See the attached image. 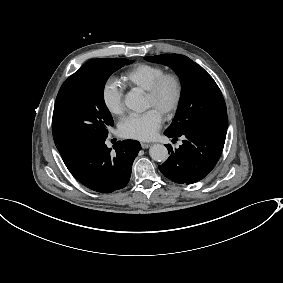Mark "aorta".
I'll list each match as a JSON object with an SVG mask.
<instances>
[{
	"mask_svg": "<svg viewBox=\"0 0 283 283\" xmlns=\"http://www.w3.org/2000/svg\"><path fill=\"white\" fill-rule=\"evenodd\" d=\"M125 105L132 111L143 112L146 110V103L143 97L135 92H130L125 97ZM150 157L157 162H164L168 158V150L162 144H154L149 149Z\"/></svg>",
	"mask_w": 283,
	"mask_h": 283,
	"instance_id": "aorta-1",
	"label": "aorta"
}]
</instances>
